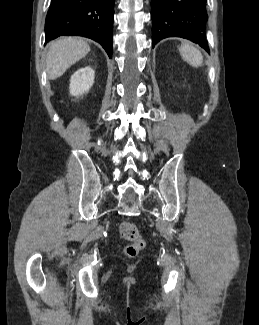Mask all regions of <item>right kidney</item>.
Wrapping results in <instances>:
<instances>
[{
    "label": "right kidney",
    "instance_id": "right-kidney-1",
    "mask_svg": "<svg viewBox=\"0 0 259 325\" xmlns=\"http://www.w3.org/2000/svg\"><path fill=\"white\" fill-rule=\"evenodd\" d=\"M95 78V71L90 67L77 70L70 79V94L76 97L87 93L92 87Z\"/></svg>",
    "mask_w": 259,
    "mask_h": 325
}]
</instances>
